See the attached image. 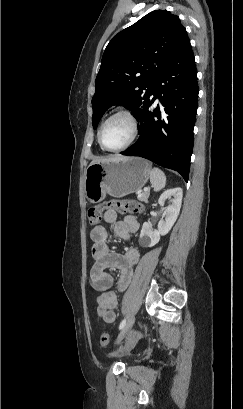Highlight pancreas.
I'll use <instances>...</instances> for the list:
<instances>
[{"mask_svg":"<svg viewBox=\"0 0 243 409\" xmlns=\"http://www.w3.org/2000/svg\"><path fill=\"white\" fill-rule=\"evenodd\" d=\"M149 197V191H145L138 196V199L142 202H147Z\"/></svg>","mask_w":243,"mask_h":409,"instance_id":"pancreas-1","label":"pancreas"}]
</instances>
